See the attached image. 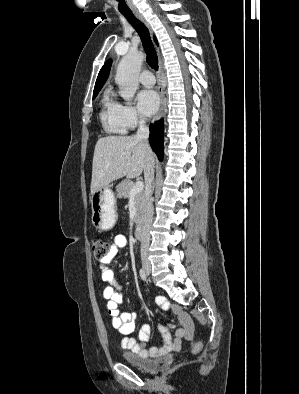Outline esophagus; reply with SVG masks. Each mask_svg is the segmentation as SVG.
Returning <instances> with one entry per match:
<instances>
[{
  "mask_svg": "<svg viewBox=\"0 0 299 394\" xmlns=\"http://www.w3.org/2000/svg\"><path fill=\"white\" fill-rule=\"evenodd\" d=\"M134 14H135L136 17H137L142 23H144V25L151 31L150 25H149V23L145 20V18H144L141 14H139L138 12H134ZM156 50H157V53H158V56H159V76H158V78H159L160 108H159L158 113H157V115H156V117H155V120H159V119L162 117L163 113H164V110H165V100H166V99H165V94H164L163 87H162L163 61H162V59H161V57H160L159 49L156 48Z\"/></svg>",
  "mask_w": 299,
  "mask_h": 394,
  "instance_id": "esophagus-1",
  "label": "esophagus"
}]
</instances>
